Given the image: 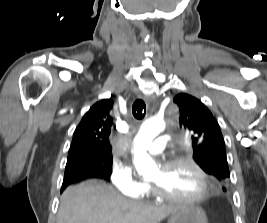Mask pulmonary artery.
I'll list each match as a JSON object with an SVG mask.
<instances>
[{"instance_id":"obj_1","label":"pulmonary artery","mask_w":267,"mask_h":223,"mask_svg":"<svg viewBox=\"0 0 267 223\" xmlns=\"http://www.w3.org/2000/svg\"><path fill=\"white\" fill-rule=\"evenodd\" d=\"M170 139V137L168 135H159L156 139V141L150 145L149 147H147V151L150 154H158L161 153L164 148L165 145L167 143V141Z\"/></svg>"}]
</instances>
